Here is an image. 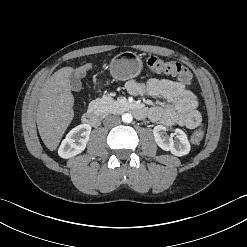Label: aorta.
Instances as JSON below:
<instances>
[{
  "label": "aorta",
  "mask_w": 247,
  "mask_h": 247,
  "mask_svg": "<svg viewBox=\"0 0 247 247\" xmlns=\"http://www.w3.org/2000/svg\"><path fill=\"white\" fill-rule=\"evenodd\" d=\"M132 120H133V117H132V115H131L130 113H124V114L122 115V121H123L124 123H131Z\"/></svg>",
  "instance_id": "762f6f07"
}]
</instances>
